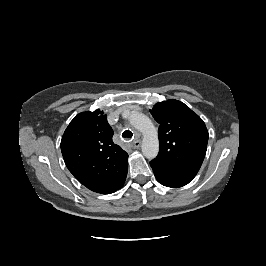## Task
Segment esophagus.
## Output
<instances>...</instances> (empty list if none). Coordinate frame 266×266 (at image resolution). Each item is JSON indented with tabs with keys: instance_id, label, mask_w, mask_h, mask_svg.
<instances>
[{
	"instance_id": "34e87169",
	"label": "esophagus",
	"mask_w": 266,
	"mask_h": 266,
	"mask_svg": "<svg viewBox=\"0 0 266 266\" xmlns=\"http://www.w3.org/2000/svg\"><path fill=\"white\" fill-rule=\"evenodd\" d=\"M132 146H133L134 148H139V147L141 146V141H140V140H134V141L132 142Z\"/></svg>"
}]
</instances>
